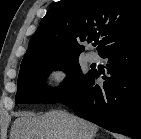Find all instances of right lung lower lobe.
Returning a JSON list of instances; mask_svg holds the SVG:
<instances>
[{
	"label": "right lung lower lobe",
	"instance_id": "1",
	"mask_svg": "<svg viewBox=\"0 0 141 139\" xmlns=\"http://www.w3.org/2000/svg\"><path fill=\"white\" fill-rule=\"evenodd\" d=\"M108 58L106 81L95 84L93 71L83 84L61 103L81 118L111 132L141 139V38L115 47Z\"/></svg>",
	"mask_w": 141,
	"mask_h": 139
}]
</instances>
